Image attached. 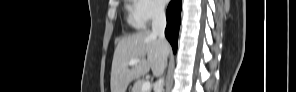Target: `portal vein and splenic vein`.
Returning <instances> with one entry per match:
<instances>
[{
  "mask_svg": "<svg viewBox=\"0 0 296 92\" xmlns=\"http://www.w3.org/2000/svg\"><path fill=\"white\" fill-rule=\"evenodd\" d=\"M140 60L139 59H132L129 61V66H133L137 63H139ZM150 87H151V84L149 81H145L143 84H142V87H141V90L142 92H147L148 90H150Z\"/></svg>",
  "mask_w": 296,
  "mask_h": 92,
  "instance_id": "18ae733b",
  "label": "portal vein and splenic vein"
}]
</instances>
